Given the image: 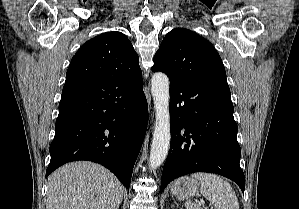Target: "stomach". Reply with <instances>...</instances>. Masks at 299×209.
<instances>
[{"label":"stomach","instance_id":"1","mask_svg":"<svg viewBox=\"0 0 299 209\" xmlns=\"http://www.w3.org/2000/svg\"><path fill=\"white\" fill-rule=\"evenodd\" d=\"M200 183L188 177L177 179L171 187V193L178 200H186L199 194Z\"/></svg>","mask_w":299,"mask_h":209}]
</instances>
